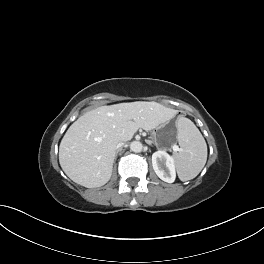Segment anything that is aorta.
<instances>
[{
    "label": "aorta",
    "mask_w": 264,
    "mask_h": 264,
    "mask_svg": "<svg viewBox=\"0 0 264 264\" xmlns=\"http://www.w3.org/2000/svg\"><path fill=\"white\" fill-rule=\"evenodd\" d=\"M130 150L136 153L141 152L143 150V145L139 141H133L130 144Z\"/></svg>",
    "instance_id": "obj_1"
}]
</instances>
